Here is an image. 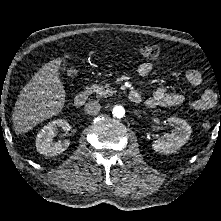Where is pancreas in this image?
Wrapping results in <instances>:
<instances>
[{"label":"pancreas","instance_id":"cf45deb5","mask_svg":"<svg viewBox=\"0 0 221 221\" xmlns=\"http://www.w3.org/2000/svg\"><path fill=\"white\" fill-rule=\"evenodd\" d=\"M90 91L95 92L99 97H105L112 96L114 93H116L115 90L109 89V85L100 86L97 84H93L90 88Z\"/></svg>","mask_w":221,"mask_h":221}]
</instances>
